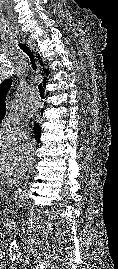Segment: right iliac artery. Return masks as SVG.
<instances>
[{"label":"right iliac artery","instance_id":"82829eb1","mask_svg":"<svg viewBox=\"0 0 118 269\" xmlns=\"http://www.w3.org/2000/svg\"><path fill=\"white\" fill-rule=\"evenodd\" d=\"M10 259L13 261H15L17 259V257L15 255L11 256Z\"/></svg>","mask_w":118,"mask_h":269}]
</instances>
